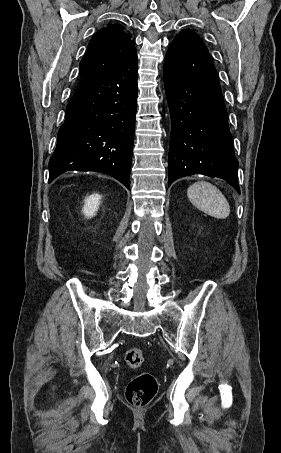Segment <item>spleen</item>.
<instances>
[{
    "instance_id": "spleen-1",
    "label": "spleen",
    "mask_w": 281,
    "mask_h": 453,
    "mask_svg": "<svg viewBox=\"0 0 281 453\" xmlns=\"http://www.w3.org/2000/svg\"><path fill=\"white\" fill-rule=\"evenodd\" d=\"M188 198L197 208L216 216V218H227L230 214V206L221 190L205 180H199L191 184L187 190Z\"/></svg>"
}]
</instances>
